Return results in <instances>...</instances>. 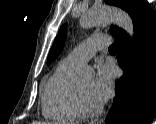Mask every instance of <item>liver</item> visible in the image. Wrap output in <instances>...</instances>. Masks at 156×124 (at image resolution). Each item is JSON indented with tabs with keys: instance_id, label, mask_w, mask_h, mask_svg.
<instances>
[{
	"instance_id": "6515ba94",
	"label": "liver",
	"mask_w": 156,
	"mask_h": 124,
	"mask_svg": "<svg viewBox=\"0 0 156 124\" xmlns=\"http://www.w3.org/2000/svg\"><path fill=\"white\" fill-rule=\"evenodd\" d=\"M32 124H48V123L37 121V122H33Z\"/></svg>"
}]
</instances>
